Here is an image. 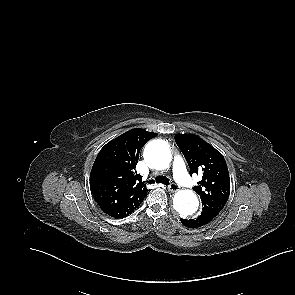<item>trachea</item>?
Segmentation results:
<instances>
[{
	"instance_id": "3493384b",
	"label": "trachea",
	"mask_w": 295,
	"mask_h": 295,
	"mask_svg": "<svg viewBox=\"0 0 295 295\" xmlns=\"http://www.w3.org/2000/svg\"><path fill=\"white\" fill-rule=\"evenodd\" d=\"M162 183L164 185H169V180L165 178L164 176H157L155 178V181H152V183Z\"/></svg>"
}]
</instances>
